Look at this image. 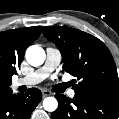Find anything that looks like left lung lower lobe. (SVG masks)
<instances>
[{
  "instance_id": "left-lung-lower-lobe-1",
  "label": "left lung lower lobe",
  "mask_w": 119,
  "mask_h": 119,
  "mask_svg": "<svg viewBox=\"0 0 119 119\" xmlns=\"http://www.w3.org/2000/svg\"><path fill=\"white\" fill-rule=\"evenodd\" d=\"M59 106L52 119H118L119 98L76 93L73 99L56 94Z\"/></svg>"
}]
</instances>
